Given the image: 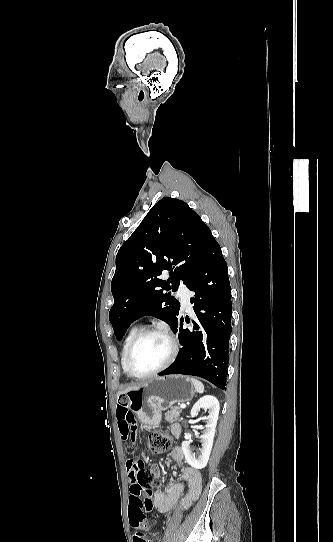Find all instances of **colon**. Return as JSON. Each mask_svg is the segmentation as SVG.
I'll return each instance as SVG.
<instances>
[{
    "mask_svg": "<svg viewBox=\"0 0 333 542\" xmlns=\"http://www.w3.org/2000/svg\"><path fill=\"white\" fill-rule=\"evenodd\" d=\"M173 438L170 434L163 431H156L149 436L148 449L152 454H160L172 447ZM129 472L127 478L136 483L127 484V493L132 494V500L137 505H130L128 513L130 522L133 525H147L150 522L152 514L151 493L148 488L156 487L160 484L158 475L150 469L144 467V462L130 458L126 462ZM144 494L147 495L143 501ZM141 542L148 541L144 536L139 537Z\"/></svg>",
    "mask_w": 333,
    "mask_h": 542,
    "instance_id": "colon-1",
    "label": "colon"
}]
</instances>
